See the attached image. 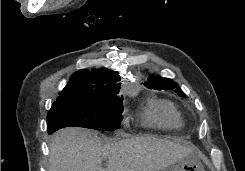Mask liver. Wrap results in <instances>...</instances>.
Segmentation results:
<instances>
[{
    "label": "liver",
    "mask_w": 245,
    "mask_h": 171,
    "mask_svg": "<svg viewBox=\"0 0 245 171\" xmlns=\"http://www.w3.org/2000/svg\"><path fill=\"white\" fill-rule=\"evenodd\" d=\"M49 150V171H160L196 152L193 147L154 137L102 146L96 133L75 127L57 132ZM106 157L108 166L103 170Z\"/></svg>",
    "instance_id": "obj_1"
}]
</instances>
